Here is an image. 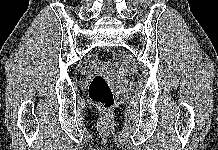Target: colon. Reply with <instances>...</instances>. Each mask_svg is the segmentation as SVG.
I'll return each mask as SVG.
<instances>
[{"label":"colon","mask_w":218,"mask_h":150,"mask_svg":"<svg viewBox=\"0 0 218 150\" xmlns=\"http://www.w3.org/2000/svg\"><path fill=\"white\" fill-rule=\"evenodd\" d=\"M101 66H110L114 60V54L109 49H101L96 55ZM89 98L94 105L102 110H109L113 107L115 97L108 80L103 75H95L89 85Z\"/></svg>","instance_id":"1"}]
</instances>
